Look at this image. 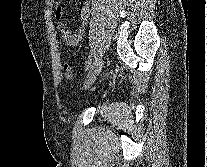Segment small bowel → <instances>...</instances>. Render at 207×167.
<instances>
[{
	"instance_id": "c3829d8e",
	"label": "small bowel",
	"mask_w": 207,
	"mask_h": 167,
	"mask_svg": "<svg viewBox=\"0 0 207 167\" xmlns=\"http://www.w3.org/2000/svg\"><path fill=\"white\" fill-rule=\"evenodd\" d=\"M89 4L90 0H81L80 6L77 11L81 19V24L75 31H71L69 29L67 23L63 19V7L61 5H58L55 17L57 20V28L61 34V40L65 45L69 47H75L81 42L87 23Z\"/></svg>"
}]
</instances>
